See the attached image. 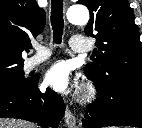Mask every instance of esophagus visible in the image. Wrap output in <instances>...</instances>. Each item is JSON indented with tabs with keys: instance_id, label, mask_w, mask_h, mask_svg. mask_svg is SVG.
<instances>
[{
	"instance_id": "34e87169",
	"label": "esophagus",
	"mask_w": 142,
	"mask_h": 128,
	"mask_svg": "<svg viewBox=\"0 0 142 128\" xmlns=\"http://www.w3.org/2000/svg\"><path fill=\"white\" fill-rule=\"evenodd\" d=\"M64 120L68 128H79L77 119L75 115L70 111L69 108L66 109Z\"/></svg>"
}]
</instances>
